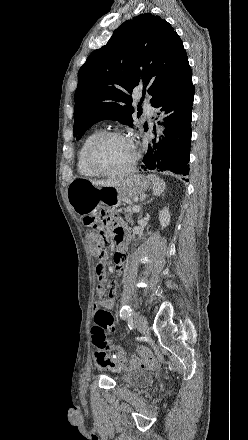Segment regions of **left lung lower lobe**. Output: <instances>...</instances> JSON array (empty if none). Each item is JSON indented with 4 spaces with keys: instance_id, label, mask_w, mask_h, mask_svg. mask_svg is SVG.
I'll list each match as a JSON object with an SVG mask.
<instances>
[{
    "instance_id": "obj_1",
    "label": "left lung lower lobe",
    "mask_w": 248,
    "mask_h": 440,
    "mask_svg": "<svg viewBox=\"0 0 248 440\" xmlns=\"http://www.w3.org/2000/svg\"><path fill=\"white\" fill-rule=\"evenodd\" d=\"M192 79L182 86L172 89L157 104L169 113L166 117L164 135L159 143L149 148L143 158L144 170L171 171L189 174L191 145V112L194 98ZM188 181V180H186Z\"/></svg>"
}]
</instances>
